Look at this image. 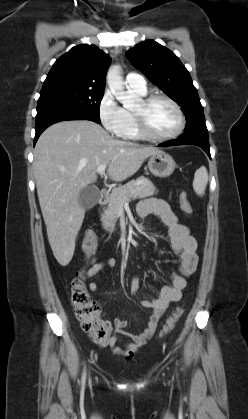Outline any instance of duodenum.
Listing matches in <instances>:
<instances>
[{"label":"duodenum","mask_w":248,"mask_h":419,"mask_svg":"<svg viewBox=\"0 0 248 419\" xmlns=\"http://www.w3.org/2000/svg\"><path fill=\"white\" fill-rule=\"evenodd\" d=\"M108 199V191L105 189L100 190L99 194V204L101 206L105 205Z\"/></svg>","instance_id":"duodenum-1"}]
</instances>
